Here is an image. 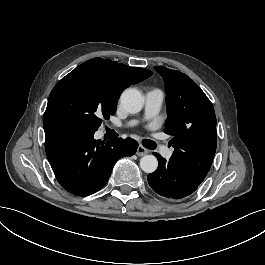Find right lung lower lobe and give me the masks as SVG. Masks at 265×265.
Instances as JSON below:
<instances>
[{"label":"right lung lower lobe","mask_w":265,"mask_h":265,"mask_svg":"<svg viewBox=\"0 0 265 265\" xmlns=\"http://www.w3.org/2000/svg\"><path fill=\"white\" fill-rule=\"evenodd\" d=\"M43 126L46 154L54 174L66 191L78 196L100 190L116 161L134 155L138 148L131 138L95 140L94 133L62 121H44Z\"/></svg>","instance_id":"1"}]
</instances>
